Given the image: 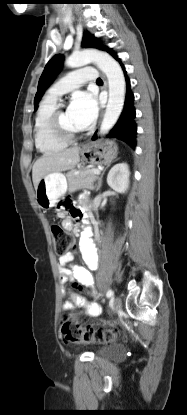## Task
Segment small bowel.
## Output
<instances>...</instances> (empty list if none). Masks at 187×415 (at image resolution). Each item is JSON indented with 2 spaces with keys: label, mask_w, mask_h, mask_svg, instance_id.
Listing matches in <instances>:
<instances>
[{
  "label": "small bowel",
  "mask_w": 187,
  "mask_h": 415,
  "mask_svg": "<svg viewBox=\"0 0 187 415\" xmlns=\"http://www.w3.org/2000/svg\"><path fill=\"white\" fill-rule=\"evenodd\" d=\"M63 211L68 213V217L63 221V225L67 229H72L73 220L79 221L85 219L84 213L76 207L65 205ZM80 251L87 268L72 265L75 257V254L72 252L60 256L58 259L60 281L62 284H65L74 280L78 286L90 288L89 294L91 296H96L97 291L94 288V279L91 271L97 268L98 255L96 247L88 235L81 240ZM62 294L67 298V301L63 304V308L66 310L83 307L85 308L86 313L92 317H97L102 312L100 304L94 301H88L85 297L70 289L63 288Z\"/></svg>",
  "instance_id": "c3829d8e"
}]
</instances>
